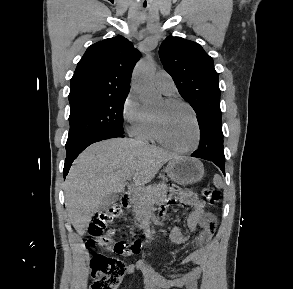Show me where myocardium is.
I'll return each mask as SVG.
<instances>
[{
	"label": "myocardium",
	"mask_w": 293,
	"mask_h": 289,
	"mask_svg": "<svg viewBox=\"0 0 293 289\" xmlns=\"http://www.w3.org/2000/svg\"><path fill=\"white\" fill-rule=\"evenodd\" d=\"M164 102L168 105H183L191 112L193 120H194V124H195V140H194V143L190 147H187V148H178L172 145L164 138L158 119L154 115H152V128H153V135L155 137V140L162 146L177 153L187 154V153L194 152L195 150L198 149L201 142V127H200V122H199L195 109L188 102L179 98H168V99H165Z\"/></svg>",
	"instance_id": "obj_1"
}]
</instances>
